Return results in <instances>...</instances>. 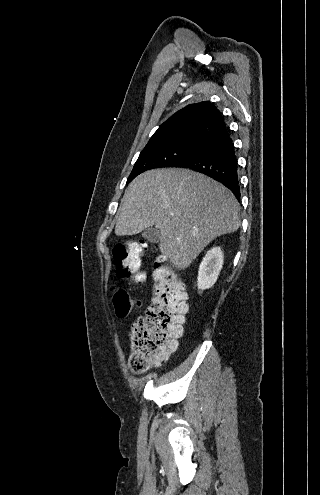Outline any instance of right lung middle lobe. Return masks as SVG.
I'll return each mask as SVG.
<instances>
[{"label":"right lung middle lobe","mask_w":320,"mask_h":495,"mask_svg":"<svg viewBox=\"0 0 320 495\" xmlns=\"http://www.w3.org/2000/svg\"><path fill=\"white\" fill-rule=\"evenodd\" d=\"M205 141L204 139L190 138L146 146L140 153L127 183L144 171L178 166L200 149Z\"/></svg>","instance_id":"obj_1"}]
</instances>
